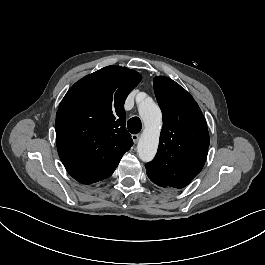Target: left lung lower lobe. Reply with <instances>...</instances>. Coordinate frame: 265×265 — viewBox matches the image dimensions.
<instances>
[{
    "label": "left lung lower lobe",
    "instance_id": "left-lung-lower-lobe-1",
    "mask_svg": "<svg viewBox=\"0 0 265 265\" xmlns=\"http://www.w3.org/2000/svg\"><path fill=\"white\" fill-rule=\"evenodd\" d=\"M151 181H152L153 183L157 184V185L160 186V187L168 188V187H164V186L160 185V184H159L158 182H156L155 180H152V179H151Z\"/></svg>",
    "mask_w": 265,
    "mask_h": 265
}]
</instances>
